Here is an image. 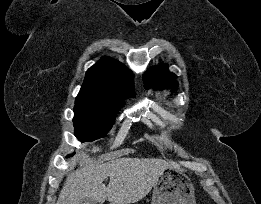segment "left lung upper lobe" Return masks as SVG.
<instances>
[{
	"label": "left lung upper lobe",
	"instance_id": "1",
	"mask_svg": "<svg viewBox=\"0 0 261 204\" xmlns=\"http://www.w3.org/2000/svg\"><path fill=\"white\" fill-rule=\"evenodd\" d=\"M175 79L176 76L173 73H170L165 65L159 66L158 68H152L144 74L146 86L154 87L155 89L172 87Z\"/></svg>",
	"mask_w": 261,
	"mask_h": 204
}]
</instances>
